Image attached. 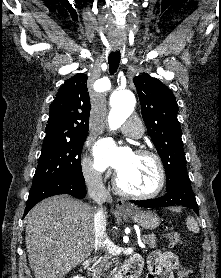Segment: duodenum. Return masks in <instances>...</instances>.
Instances as JSON below:
<instances>
[{
  "mask_svg": "<svg viewBox=\"0 0 221 278\" xmlns=\"http://www.w3.org/2000/svg\"><path fill=\"white\" fill-rule=\"evenodd\" d=\"M141 273V267L135 260H132L118 275V278H138Z\"/></svg>",
  "mask_w": 221,
  "mask_h": 278,
  "instance_id": "1",
  "label": "duodenum"
}]
</instances>
